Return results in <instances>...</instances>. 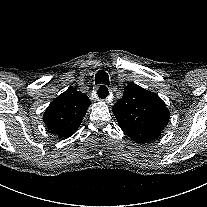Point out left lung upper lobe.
I'll list each match as a JSON object with an SVG mask.
<instances>
[{
  "label": "left lung upper lobe",
  "instance_id": "left-lung-upper-lobe-1",
  "mask_svg": "<svg viewBox=\"0 0 207 207\" xmlns=\"http://www.w3.org/2000/svg\"><path fill=\"white\" fill-rule=\"evenodd\" d=\"M112 111L122 131L138 143L157 139L166 127L170 113L163 100L139 85L129 83Z\"/></svg>",
  "mask_w": 207,
  "mask_h": 207
}]
</instances>
